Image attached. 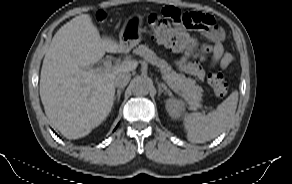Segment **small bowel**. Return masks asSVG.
Listing matches in <instances>:
<instances>
[{"label":"small bowel","mask_w":292,"mask_h":184,"mask_svg":"<svg viewBox=\"0 0 292 184\" xmlns=\"http://www.w3.org/2000/svg\"><path fill=\"white\" fill-rule=\"evenodd\" d=\"M210 21V26L198 28L212 43H213V56L211 66L220 65L222 69H226L233 61V55L225 52L223 41L224 32L217 24L214 17L206 15ZM189 55H183L177 59L176 65L178 69L188 75L203 80L205 77V70L199 62L189 61ZM202 59V57H200Z\"/></svg>","instance_id":"small-bowel-1"}]
</instances>
